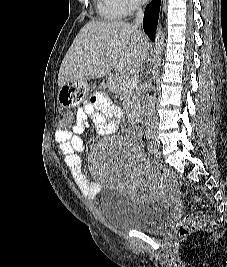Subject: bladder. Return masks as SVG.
I'll return each instance as SVG.
<instances>
[{
	"instance_id": "obj_1",
	"label": "bladder",
	"mask_w": 227,
	"mask_h": 267,
	"mask_svg": "<svg viewBox=\"0 0 227 267\" xmlns=\"http://www.w3.org/2000/svg\"><path fill=\"white\" fill-rule=\"evenodd\" d=\"M100 209L106 223L117 230L156 233L174 219L173 209L156 200H136L115 188L101 192Z\"/></svg>"
}]
</instances>
